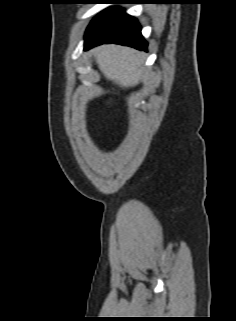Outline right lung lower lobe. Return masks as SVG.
<instances>
[{
  "instance_id": "98d812e1",
  "label": "right lung lower lobe",
  "mask_w": 236,
  "mask_h": 321,
  "mask_svg": "<svg viewBox=\"0 0 236 321\" xmlns=\"http://www.w3.org/2000/svg\"><path fill=\"white\" fill-rule=\"evenodd\" d=\"M103 43L127 45L139 50H146L147 47L137 20L127 15L121 8L103 11L87 28L85 50Z\"/></svg>"
}]
</instances>
